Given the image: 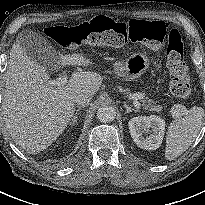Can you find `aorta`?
Here are the masks:
<instances>
[{
  "instance_id": "aorta-1",
  "label": "aorta",
  "mask_w": 205,
  "mask_h": 205,
  "mask_svg": "<svg viewBox=\"0 0 205 205\" xmlns=\"http://www.w3.org/2000/svg\"><path fill=\"white\" fill-rule=\"evenodd\" d=\"M115 114L113 107L105 106L98 109L97 118L102 123H108L114 120Z\"/></svg>"
}]
</instances>
